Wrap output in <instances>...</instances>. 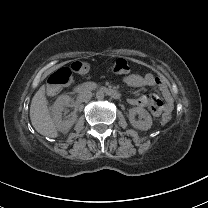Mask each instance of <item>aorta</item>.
<instances>
[{
  "label": "aorta",
  "instance_id": "obj_1",
  "mask_svg": "<svg viewBox=\"0 0 208 208\" xmlns=\"http://www.w3.org/2000/svg\"><path fill=\"white\" fill-rule=\"evenodd\" d=\"M96 98L97 99H103L104 98V92L103 91H98L96 93Z\"/></svg>",
  "mask_w": 208,
  "mask_h": 208
}]
</instances>
